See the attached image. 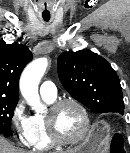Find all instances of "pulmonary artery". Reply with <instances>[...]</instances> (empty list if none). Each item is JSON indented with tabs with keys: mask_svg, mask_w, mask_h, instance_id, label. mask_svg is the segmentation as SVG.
<instances>
[{
	"mask_svg": "<svg viewBox=\"0 0 130 153\" xmlns=\"http://www.w3.org/2000/svg\"><path fill=\"white\" fill-rule=\"evenodd\" d=\"M40 94L44 97L55 99L57 97V88L52 81L46 80L40 86Z\"/></svg>",
	"mask_w": 130,
	"mask_h": 153,
	"instance_id": "obj_1",
	"label": "pulmonary artery"
}]
</instances>
